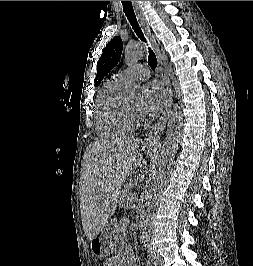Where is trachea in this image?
<instances>
[{
  "label": "trachea",
  "mask_w": 253,
  "mask_h": 266,
  "mask_svg": "<svg viewBox=\"0 0 253 266\" xmlns=\"http://www.w3.org/2000/svg\"><path fill=\"white\" fill-rule=\"evenodd\" d=\"M121 2L123 5L124 13L127 19L129 20L134 32L142 41L146 42L144 34L137 22L131 1H121ZM148 63L152 69H155L157 67V58L154 52L150 48H149Z\"/></svg>",
  "instance_id": "3493384b"
}]
</instances>
